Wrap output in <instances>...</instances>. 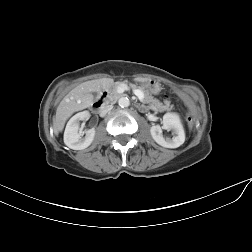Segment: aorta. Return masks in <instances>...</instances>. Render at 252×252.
Returning <instances> with one entry per match:
<instances>
[{
    "label": "aorta",
    "mask_w": 252,
    "mask_h": 252,
    "mask_svg": "<svg viewBox=\"0 0 252 252\" xmlns=\"http://www.w3.org/2000/svg\"><path fill=\"white\" fill-rule=\"evenodd\" d=\"M118 104L120 107L124 108V107H128L130 105V101L127 97H121L118 100Z\"/></svg>",
    "instance_id": "obj_1"
}]
</instances>
